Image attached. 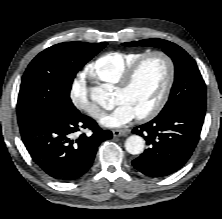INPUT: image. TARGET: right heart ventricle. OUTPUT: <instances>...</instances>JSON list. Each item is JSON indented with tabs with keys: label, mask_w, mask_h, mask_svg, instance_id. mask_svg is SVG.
<instances>
[{
	"label": "right heart ventricle",
	"mask_w": 222,
	"mask_h": 219,
	"mask_svg": "<svg viewBox=\"0 0 222 219\" xmlns=\"http://www.w3.org/2000/svg\"><path fill=\"white\" fill-rule=\"evenodd\" d=\"M145 51H111L97 57L86 68V73L96 80L117 85L126 69Z\"/></svg>",
	"instance_id": "1"
}]
</instances>
